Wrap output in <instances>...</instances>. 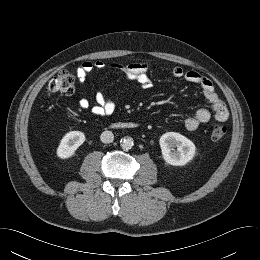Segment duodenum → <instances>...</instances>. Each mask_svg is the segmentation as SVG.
<instances>
[{"instance_id":"1","label":"duodenum","mask_w":260,"mask_h":260,"mask_svg":"<svg viewBox=\"0 0 260 260\" xmlns=\"http://www.w3.org/2000/svg\"><path fill=\"white\" fill-rule=\"evenodd\" d=\"M113 127L116 129H126V130H135L140 127L138 123L135 122H125V123H115Z\"/></svg>"}]
</instances>
